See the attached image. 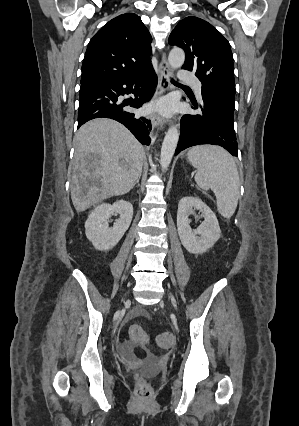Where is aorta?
I'll use <instances>...</instances> for the list:
<instances>
[{"label": "aorta", "mask_w": 299, "mask_h": 426, "mask_svg": "<svg viewBox=\"0 0 299 426\" xmlns=\"http://www.w3.org/2000/svg\"><path fill=\"white\" fill-rule=\"evenodd\" d=\"M185 61V53L181 48L174 47L168 56V63L172 70L180 68ZM179 129L177 125L171 126L162 143L160 165L163 171L167 170L175 153L179 140Z\"/></svg>", "instance_id": "762f6f07"}]
</instances>
